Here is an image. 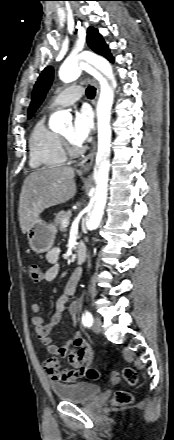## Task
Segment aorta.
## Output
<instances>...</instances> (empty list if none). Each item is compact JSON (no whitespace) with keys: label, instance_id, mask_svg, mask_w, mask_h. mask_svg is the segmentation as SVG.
I'll return each instance as SVG.
<instances>
[{"label":"aorta","instance_id":"762f6f07","mask_svg":"<svg viewBox=\"0 0 174 440\" xmlns=\"http://www.w3.org/2000/svg\"><path fill=\"white\" fill-rule=\"evenodd\" d=\"M82 62H86L97 68L110 80L111 91L115 89L116 81L110 63L105 58L95 54H81L77 57L66 59L59 71L60 79L64 82H72L76 80L81 73L80 65ZM110 107L111 97L109 96L100 101L97 110L99 146L96 167L94 170L93 194L88 206V216L86 221L87 228L90 231L95 230L99 226L107 201L108 172L110 166ZM69 118V114L64 111L54 113L50 119V128L53 130L62 128Z\"/></svg>","mask_w":174,"mask_h":440}]
</instances>
